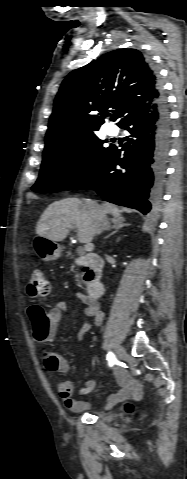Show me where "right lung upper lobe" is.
<instances>
[{
  "label": "right lung upper lobe",
  "instance_id": "obj_1",
  "mask_svg": "<svg viewBox=\"0 0 187 479\" xmlns=\"http://www.w3.org/2000/svg\"><path fill=\"white\" fill-rule=\"evenodd\" d=\"M162 93L156 72L140 51H111L72 71L63 81L50 117L45 150L98 131L109 112L120 125L128 114L150 107Z\"/></svg>",
  "mask_w": 187,
  "mask_h": 479
}]
</instances>
